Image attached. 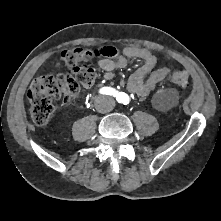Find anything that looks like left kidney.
Returning <instances> with one entry per match:
<instances>
[{
  "instance_id": "1",
  "label": "left kidney",
  "mask_w": 221,
  "mask_h": 221,
  "mask_svg": "<svg viewBox=\"0 0 221 221\" xmlns=\"http://www.w3.org/2000/svg\"><path fill=\"white\" fill-rule=\"evenodd\" d=\"M156 103L163 109L171 108L176 101V91L173 89L159 90L155 96Z\"/></svg>"
}]
</instances>
